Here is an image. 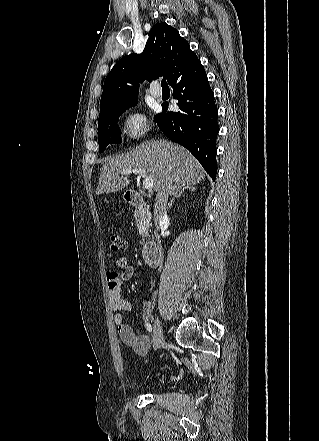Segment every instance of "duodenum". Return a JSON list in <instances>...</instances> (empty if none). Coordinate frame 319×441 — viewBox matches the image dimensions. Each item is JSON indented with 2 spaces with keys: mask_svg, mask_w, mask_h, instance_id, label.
<instances>
[{
  "mask_svg": "<svg viewBox=\"0 0 319 441\" xmlns=\"http://www.w3.org/2000/svg\"><path fill=\"white\" fill-rule=\"evenodd\" d=\"M126 201L135 207L143 208L147 205L145 199L137 191H128L125 195ZM142 256L151 267L159 266L161 262V252L156 244L146 242L142 248Z\"/></svg>",
  "mask_w": 319,
  "mask_h": 441,
  "instance_id": "1",
  "label": "duodenum"
}]
</instances>
